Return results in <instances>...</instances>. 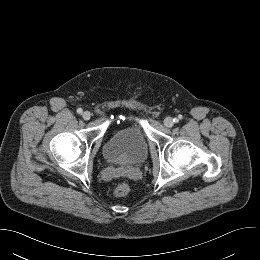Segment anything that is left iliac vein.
Returning a JSON list of instances; mask_svg holds the SVG:
<instances>
[{"label": "left iliac vein", "mask_w": 260, "mask_h": 260, "mask_svg": "<svg viewBox=\"0 0 260 260\" xmlns=\"http://www.w3.org/2000/svg\"><path fill=\"white\" fill-rule=\"evenodd\" d=\"M164 125L166 127H172L174 125V120L172 117H166L165 120H164Z\"/></svg>", "instance_id": "1"}]
</instances>
